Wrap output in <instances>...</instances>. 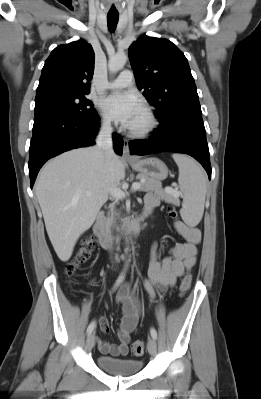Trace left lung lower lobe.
<instances>
[{
	"mask_svg": "<svg viewBox=\"0 0 261 399\" xmlns=\"http://www.w3.org/2000/svg\"><path fill=\"white\" fill-rule=\"evenodd\" d=\"M153 136L129 142L130 153L147 155L160 152L184 153L194 157L211 178L209 149L202 115H190L177 120L169 127H158Z\"/></svg>",
	"mask_w": 261,
	"mask_h": 399,
	"instance_id": "1",
	"label": "left lung lower lobe"
}]
</instances>
